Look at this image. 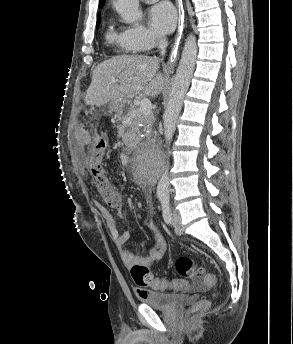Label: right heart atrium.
<instances>
[{
	"label": "right heart atrium",
	"mask_w": 293,
	"mask_h": 344,
	"mask_svg": "<svg viewBox=\"0 0 293 344\" xmlns=\"http://www.w3.org/2000/svg\"><path fill=\"white\" fill-rule=\"evenodd\" d=\"M125 42L133 51H147L152 49L159 37L141 24H132L122 29Z\"/></svg>",
	"instance_id": "right-heart-atrium-1"
}]
</instances>
